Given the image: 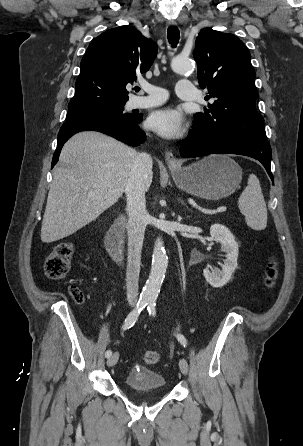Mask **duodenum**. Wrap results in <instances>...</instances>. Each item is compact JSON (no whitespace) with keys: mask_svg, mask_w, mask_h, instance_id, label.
<instances>
[{"mask_svg":"<svg viewBox=\"0 0 303 446\" xmlns=\"http://www.w3.org/2000/svg\"><path fill=\"white\" fill-rule=\"evenodd\" d=\"M126 219L119 217L109 229L105 245L110 255L117 261L122 259V243Z\"/></svg>","mask_w":303,"mask_h":446,"instance_id":"410a0bca","label":"duodenum"}]
</instances>
